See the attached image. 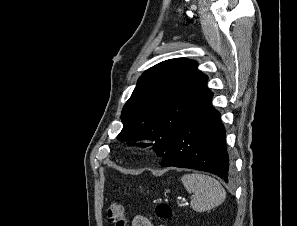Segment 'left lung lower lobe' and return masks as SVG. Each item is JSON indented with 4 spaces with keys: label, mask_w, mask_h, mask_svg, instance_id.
I'll list each match as a JSON object with an SVG mask.
<instances>
[{
    "label": "left lung lower lobe",
    "mask_w": 297,
    "mask_h": 226,
    "mask_svg": "<svg viewBox=\"0 0 297 226\" xmlns=\"http://www.w3.org/2000/svg\"><path fill=\"white\" fill-rule=\"evenodd\" d=\"M212 96L210 92L202 98L182 122L160 165L206 171L228 182L232 166L225 128L220 113L211 104Z\"/></svg>",
    "instance_id": "left-lung-lower-lobe-1"
}]
</instances>
